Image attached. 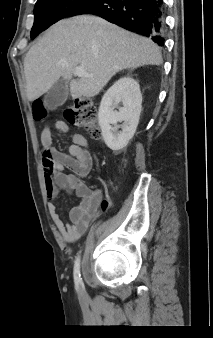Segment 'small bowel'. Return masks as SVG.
<instances>
[{"label":"small bowel","mask_w":213,"mask_h":338,"mask_svg":"<svg viewBox=\"0 0 213 338\" xmlns=\"http://www.w3.org/2000/svg\"><path fill=\"white\" fill-rule=\"evenodd\" d=\"M54 128L60 134L69 132L67 124L63 121H57ZM70 138L68 152L61 153L53 147L51 127L44 126L41 133V162L44 187L49 199L56 198L60 191L64 190L76 195L80 200L79 206L70 212L69 223L61 219L54 203L48 206L51 219L63 239L66 242H75L84 235L90 223L97 220V210L104 200L101 190L89 188L82 180L90 173L94 161L87 149L86 138L80 133H72ZM64 169H69L72 173H64Z\"/></svg>","instance_id":"1"}]
</instances>
